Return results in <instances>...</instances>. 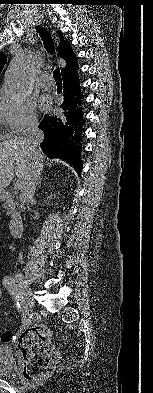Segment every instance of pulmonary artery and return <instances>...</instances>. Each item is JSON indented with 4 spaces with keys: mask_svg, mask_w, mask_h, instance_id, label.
Listing matches in <instances>:
<instances>
[{
    "mask_svg": "<svg viewBox=\"0 0 153 393\" xmlns=\"http://www.w3.org/2000/svg\"><path fill=\"white\" fill-rule=\"evenodd\" d=\"M40 83L45 89H50L53 87L52 77L50 75L42 76Z\"/></svg>",
    "mask_w": 153,
    "mask_h": 393,
    "instance_id": "pulmonary-artery-1",
    "label": "pulmonary artery"
}]
</instances>
